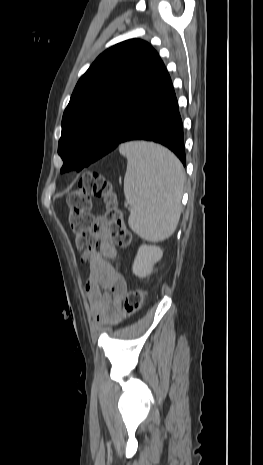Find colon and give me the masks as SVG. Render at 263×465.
I'll list each match as a JSON object with an SVG mask.
<instances>
[{"label":"colon","instance_id":"colon-1","mask_svg":"<svg viewBox=\"0 0 263 465\" xmlns=\"http://www.w3.org/2000/svg\"><path fill=\"white\" fill-rule=\"evenodd\" d=\"M93 198H103L107 212L103 217L95 218L91 212ZM69 207L68 223L75 235L77 250L83 260L89 261L97 246L96 232L104 226L112 243L120 248H128L132 237L123 221L122 213L118 208L117 196L111 182L101 173H85L78 188L68 194L66 198ZM145 292L141 288L131 290L124 299L123 312L132 315L143 305Z\"/></svg>","mask_w":263,"mask_h":465}]
</instances>
